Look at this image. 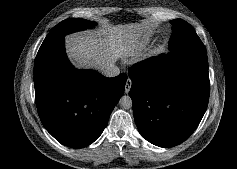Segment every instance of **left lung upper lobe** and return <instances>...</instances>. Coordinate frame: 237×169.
I'll return each mask as SVG.
<instances>
[{"label":"left lung upper lobe","mask_w":237,"mask_h":169,"mask_svg":"<svg viewBox=\"0 0 237 169\" xmlns=\"http://www.w3.org/2000/svg\"><path fill=\"white\" fill-rule=\"evenodd\" d=\"M170 23L173 26L169 41L171 55L189 51L206 52L204 44L189 23L182 19H174Z\"/></svg>","instance_id":"obj_1"}]
</instances>
